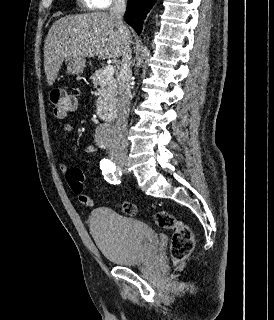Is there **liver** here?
Listing matches in <instances>:
<instances>
[{
  "label": "liver",
  "instance_id": "1",
  "mask_svg": "<svg viewBox=\"0 0 274 320\" xmlns=\"http://www.w3.org/2000/svg\"><path fill=\"white\" fill-rule=\"evenodd\" d=\"M108 12L65 16L52 24L44 44V70L53 86L65 58H120L123 42Z\"/></svg>",
  "mask_w": 274,
  "mask_h": 320
}]
</instances>
